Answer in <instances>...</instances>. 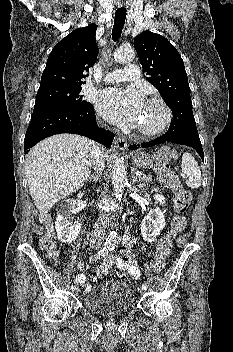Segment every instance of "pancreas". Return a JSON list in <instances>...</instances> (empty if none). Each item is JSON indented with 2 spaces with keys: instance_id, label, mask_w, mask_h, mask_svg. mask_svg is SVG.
Here are the masks:
<instances>
[{
  "instance_id": "pancreas-1",
  "label": "pancreas",
  "mask_w": 233,
  "mask_h": 352,
  "mask_svg": "<svg viewBox=\"0 0 233 352\" xmlns=\"http://www.w3.org/2000/svg\"><path fill=\"white\" fill-rule=\"evenodd\" d=\"M139 181L141 182V185L148 184L151 181V176L150 175H142L141 177H139Z\"/></svg>"
}]
</instances>
